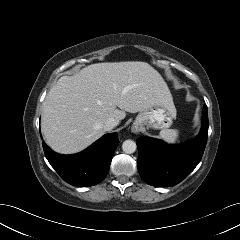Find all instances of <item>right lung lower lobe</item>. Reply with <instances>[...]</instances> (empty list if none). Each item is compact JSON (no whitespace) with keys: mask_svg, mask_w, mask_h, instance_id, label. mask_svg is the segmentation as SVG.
I'll use <instances>...</instances> for the list:
<instances>
[{"mask_svg":"<svg viewBox=\"0 0 240 240\" xmlns=\"http://www.w3.org/2000/svg\"><path fill=\"white\" fill-rule=\"evenodd\" d=\"M119 144L117 133L102 136L90 147L74 155H61L42 143L45 156L59 176L74 186H93L107 175Z\"/></svg>","mask_w":240,"mask_h":240,"instance_id":"right-lung-lower-lobe-1","label":"right lung lower lobe"}]
</instances>
